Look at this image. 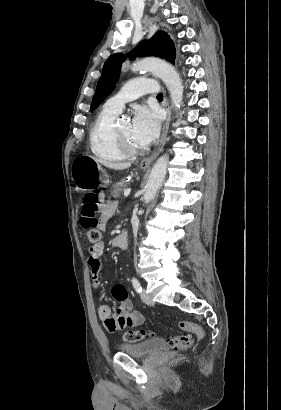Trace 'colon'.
<instances>
[{
	"label": "colon",
	"instance_id": "colon-1",
	"mask_svg": "<svg viewBox=\"0 0 281 410\" xmlns=\"http://www.w3.org/2000/svg\"><path fill=\"white\" fill-rule=\"evenodd\" d=\"M98 210V196L94 193L86 194L82 201L80 224L86 230L88 239L94 244L99 243L101 239V232L98 227ZM179 328L183 330L184 333L178 336H173L169 339V344L174 350H185L191 346L193 336L202 338L204 335L202 327L193 322L179 321ZM154 336L155 333L150 330H129L124 333L123 340L128 343H135L140 342L147 337Z\"/></svg>",
	"mask_w": 281,
	"mask_h": 410
}]
</instances>
